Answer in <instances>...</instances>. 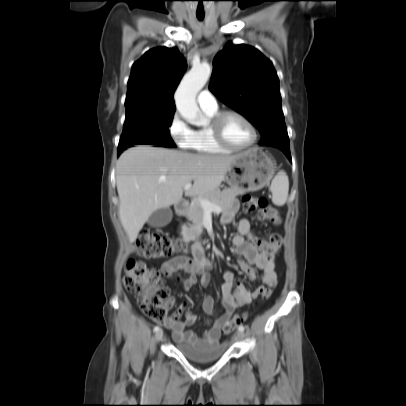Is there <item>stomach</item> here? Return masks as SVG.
Here are the masks:
<instances>
[{
    "label": "stomach",
    "instance_id": "stomach-1",
    "mask_svg": "<svg viewBox=\"0 0 406 406\" xmlns=\"http://www.w3.org/2000/svg\"><path fill=\"white\" fill-rule=\"evenodd\" d=\"M276 170L274 160L261 148L254 147L238 154L230 166L226 181L231 188L257 191L269 184Z\"/></svg>",
    "mask_w": 406,
    "mask_h": 406
}]
</instances>
